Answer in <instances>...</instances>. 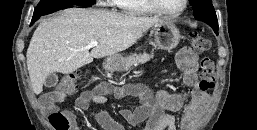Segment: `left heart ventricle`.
<instances>
[{
  "mask_svg": "<svg viewBox=\"0 0 257 130\" xmlns=\"http://www.w3.org/2000/svg\"><path fill=\"white\" fill-rule=\"evenodd\" d=\"M161 8L168 12H177L183 6L184 0H156Z\"/></svg>",
  "mask_w": 257,
  "mask_h": 130,
  "instance_id": "obj_1",
  "label": "left heart ventricle"
}]
</instances>
